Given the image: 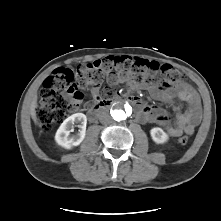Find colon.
I'll return each mask as SVG.
<instances>
[{
    "mask_svg": "<svg viewBox=\"0 0 221 221\" xmlns=\"http://www.w3.org/2000/svg\"><path fill=\"white\" fill-rule=\"evenodd\" d=\"M117 67L125 72L136 83L149 84L158 79L165 88H171L185 78L183 72L172 65H160L135 58H107L84 64L75 70L59 67L46 78L41 89L40 100L36 107V116L40 128L48 132L55 125L62 122L68 109H76L77 101L83 97V91L89 87H96L102 81L103 71ZM108 96L114 90H106ZM179 144H186L188 137L178 138Z\"/></svg>",
    "mask_w": 221,
    "mask_h": 221,
    "instance_id": "5ec220e1",
    "label": "colon"
}]
</instances>
